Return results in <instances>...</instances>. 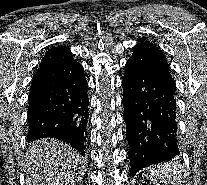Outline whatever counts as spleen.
I'll return each instance as SVG.
<instances>
[{
    "mask_svg": "<svg viewBox=\"0 0 207 185\" xmlns=\"http://www.w3.org/2000/svg\"><path fill=\"white\" fill-rule=\"evenodd\" d=\"M179 168L168 166L167 163H162L161 166L144 167V172H140V177L152 179L155 185H167V183L178 182L176 179H182V174H178Z\"/></svg>",
    "mask_w": 207,
    "mask_h": 185,
    "instance_id": "spleen-1",
    "label": "spleen"
}]
</instances>
